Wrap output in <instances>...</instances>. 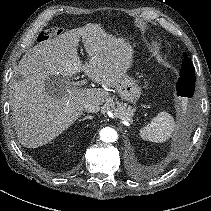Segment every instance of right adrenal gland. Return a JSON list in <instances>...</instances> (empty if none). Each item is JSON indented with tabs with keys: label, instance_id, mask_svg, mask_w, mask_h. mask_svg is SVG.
<instances>
[{
	"label": "right adrenal gland",
	"instance_id": "obj_1",
	"mask_svg": "<svg viewBox=\"0 0 211 211\" xmlns=\"http://www.w3.org/2000/svg\"><path fill=\"white\" fill-rule=\"evenodd\" d=\"M86 119H93V116L87 115V116H85L84 118L79 119L78 121L80 122V121H84V120H86Z\"/></svg>",
	"mask_w": 211,
	"mask_h": 211
}]
</instances>
